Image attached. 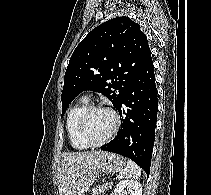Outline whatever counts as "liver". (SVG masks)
<instances>
[{"label":"liver","instance_id":"obj_1","mask_svg":"<svg viewBox=\"0 0 211 195\" xmlns=\"http://www.w3.org/2000/svg\"><path fill=\"white\" fill-rule=\"evenodd\" d=\"M105 152L93 151L73 153L61 161L59 171L60 195H85L92 181L91 173L96 167L97 160Z\"/></svg>","mask_w":211,"mask_h":195}]
</instances>
